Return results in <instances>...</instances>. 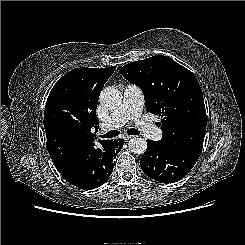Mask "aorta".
<instances>
[{"mask_svg": "<svg viewBox=\"0 0 245 245\" xmlns=\"http://www.w3.org/2000/svg\"><path fill=\"white\" fill-rule=\"evenodd\" d=\"M100 103L109 109H115L120 106L122 102V94L115 87L104 88L99 97ZM129 150L135 154H143L147 149V142L144 138L136 136L130 139Z\"/></svg>", "mask_w": 245, "mask_h": 245, "instance_id": "762f6f07", "label": "aorta"}]
</instances>
